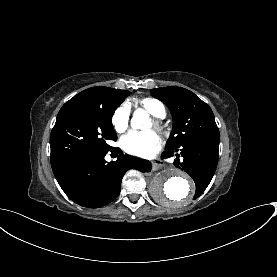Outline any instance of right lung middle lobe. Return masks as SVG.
<instances>
[{
	"label": "right lung middle lobe",
	"instance_id": "1",
	"mask_svg": "<svg viewBox=\"0 0 277 277\" xmlns=\"http://www.w3.org/2000/svg\"><path fill=\"white\" fill-rule=\"evenodd\" d=\"M130 94L122 91L113 104L76 96L66 102L57 115L50 136L51 164L73 155L110 149L106 141L117 140L112 115Z\"/></svg>",
	"mask_w": 277,
	"mask_h": 277
}]
</instances>
